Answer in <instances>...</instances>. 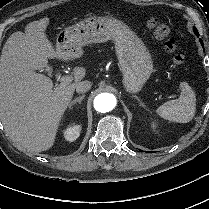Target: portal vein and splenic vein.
<instances>
[{
	"label": "portal vein and splenic vein",
	"instance_id": "portal-vein-and-splenic-vein-1",
	"mask_svg": "<svg viewBox=\"0 0 209 209\" xmlns=\"http://www.w3.org/2000/svg\"><path fill=\"white\" fill-rule=\"evenodd\" d=\"M72 80H73V78L68 75L60 77V82H61V85H63V86L71 83Z\"/></svg>",
	"mask_w": 209,
	"mask_h": 209
}]
</instances>
